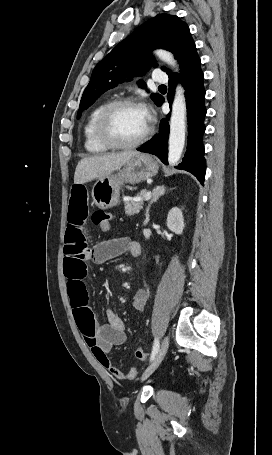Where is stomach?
Returning a JSON list of instances; mask_svg holds the SVG:
<instances>
[{"label":"stomach","mask_w":272,"mask_h":455,"mask_svg":"<svg viewBox=\"0 0 272 455\" xmlns=\"http://www.w3.org/2000/svg\"><path fill=\"white\" fill-rule=\"evenodd\" d=\"M158 172L156 160L139 153L131 157L116 173L112 172L98 179L92 188L93 203L100 209H109L117 205L120 189L124 183H139L153 177Z\"/></svg>","instance_id":"stomach-1"}]
</instances>
